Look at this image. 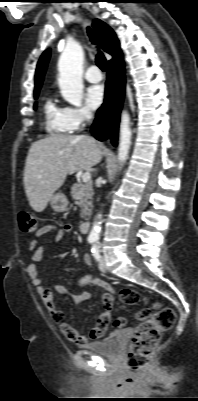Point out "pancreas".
Returning <instances> with one entry per match:
<instances>
[{
  "instance_id": "pancreas-1",
  "label": "pancreas",
  "mask_w": 198,
  "mask_h": 401,
  "mask_svg": "<svg viewBox=\"0 0 198 401\" xmlns=\"http://www.w3.org/2000/svg\"><path fill=\"white\" fill-rule=\"evenodd\" d=\"M93 195L92 183H75L71 187V196L81 207L82 219H87L91 214Z\"/></svg>"
}]
</instances>
